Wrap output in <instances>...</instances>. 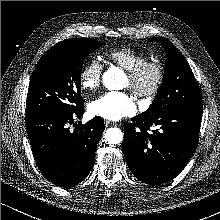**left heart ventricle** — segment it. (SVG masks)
<instances>
[{
	"mask_svg": "<svg viewBox=\"0 0 220 220\" xmlns=\"http://www.w3.org/2000/svg\"><path fill=\"white\" fill-rule=\"evenodd\" d=\"M152 78H153V73L152 72H149L146 77H145V81L148 83V82H151L152 81ZM130 80L129 78L127 77L126 81H125V86L127 87H130Z\"/></svg>",
	"mask_w": 220,
	"mask_h": 220,
	"instance_id": "1",
	"label": "left heart ventricle"
}]
</instances>
